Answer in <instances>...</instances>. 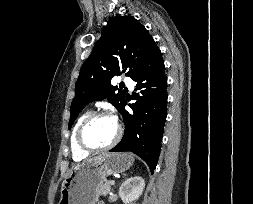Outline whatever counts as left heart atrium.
I'll return each mask as SVG.
<instances>
[{"label":"left heart atrium","instance_id":"39dd6f15","mask_svg":"<svg viewBox=\"0 0 253 204\" xmlns=\"http://www.w3.org/2000/svg\"><path fill=\"white\" fill-rule=\"evenodd\" d=\"M110 118L112 119V121H113L114 123L117 124V117H116L115 115H111Z\"/></svg>","mask_w":253,"mask_h":204}]
</instances>
